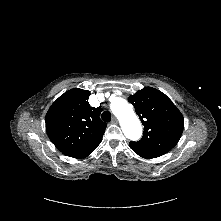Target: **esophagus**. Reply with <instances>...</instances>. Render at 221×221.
<instances>
[{
    "label": "esophagus",
    "instance_id": "esophagus-1",
    "mask_svg": "<svg viewBox=\"0 0 221 221\" xmlns=\"http://www.w3.org/2000/svg\"><path fill=\"white\" fill-rule=\"evenodd\" d=\"M111 123L113 124H117L118 123V120L116 117H113L112 120H111Z\"/></svg>",
    "mask_w": 221,
    "mask_h": 221
}]
</instances>
